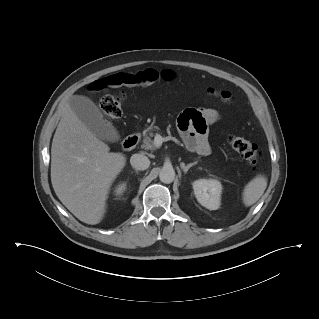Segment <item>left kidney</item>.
Instances as JSON below:
<instances>
[{"mask_svg":"<svg viewBox=\"0 0 319 319\" xmlns=\"http://www.w3.org/2000/svg\"><path fill=\"white\" fill-rule=\"evenodd\" d=\"M193 190L197 201L209 210L220 207L222 184L216 179H198L193 182Z\"/></svg>","mask_w":319,"mask_h":319,"instance_id":"left-kidney-1","label":"left kidney"}]
</instances>
